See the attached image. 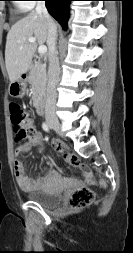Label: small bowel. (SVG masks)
I'll return each instance as SVG.
<instances>
[{"label": "small bowel", "instance_id": "1", "mask_svg": "<svg viewBox=\"0 0 133 253\" xmlns=\"http://www.w3.org/2000/svg\"><path fill=\"white\" fill-rule=\"evenodd\" d=\"M33 147H37L40 152L44 151V148L42 146V137L37 131H34V134L31 138L17 147L16 155L26 154ZM14 173L18 186L24 191L39 189L46 181V179L42 177H28L25 173L24 165L19 159L15 161ZM82 175L86 184L94 183L93 175L89 170L84 168Z\"/></svg>", "mask_w": 133, "mask_h": 253}]
</instances>
